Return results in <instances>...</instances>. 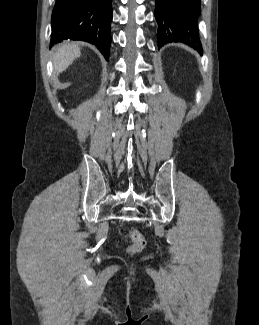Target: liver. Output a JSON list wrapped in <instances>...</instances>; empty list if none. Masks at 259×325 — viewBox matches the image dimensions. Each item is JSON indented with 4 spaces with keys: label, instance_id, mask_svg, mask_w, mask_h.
<instances>
[{
    "label": "liver",
    "instance_id": "obj_1",
    "mask_svg": "<svg viewBox=\"0 0 259 325\" xmlns=\"http://www.w3.org/2000/svg\"><path fill=\"white\" fill-rule=\"evenodd\" d=\"M80 55V48L74 43H62L56 46L52 58L54 72L59 74L65 71L76 58L80 57Z\"/></svg>",
    "mask_w": 259,
    "mask_h": 325
}]
</instances>
